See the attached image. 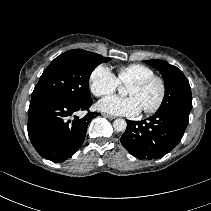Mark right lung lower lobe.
Masks as SVG:
<instances>
[{
  "mask_svg": "<svg viewBox=\"0 0 211 211\" xmlns=\"http://www.w3.org/2000/svg\"><path fill=\"white\" fill-rule=\"evenodd\" d=\"M92 101L74 104L54 98H33L28 110V135L36 151L53 162L71 157L81 146L88 123L97 112L79 118L77 111L88 110Z\"/></svg>",
  "mask_w": 211,
  "mask_h": 211,
  "instance_id": "right-lung-lower-lobe-1",
  "label": "right lung lower lobe"
}]
</instances>
